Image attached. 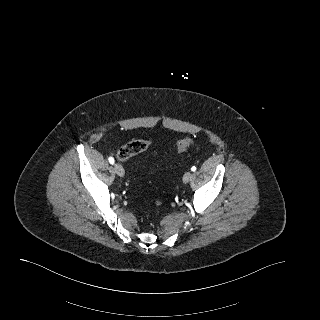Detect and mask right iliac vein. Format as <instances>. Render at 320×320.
Returning <instances> with one entry per match:
<instances>
[{"mask_svg":"<svg viewBox=\"0 0 320 320\" xmlns=\"http://www.w3.org/2000/svg\"><path fill=\"white\" fill-rule=\"evenodd\" d=\"M114 169H115V172L118 176L124 177L125 171H124L122 165H120L119 163H116L114 166Z\"/></svg>","mask_w":320,"mask_h":320,"instance_id":"obj_1","label":"right iliac vein"}]
</instances>
